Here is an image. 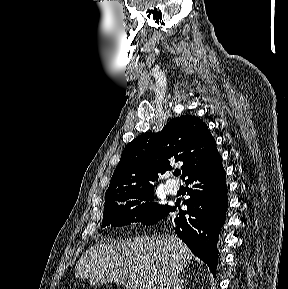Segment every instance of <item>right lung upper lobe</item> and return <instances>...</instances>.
Listing matches in <instances>:
<instances>
[{
    "instance_id": "right-lung-upper-lobe-1",
    "label": "right lung upper lobe",
    "mask_w": 288,
    "mask_h": 289,
    "mask_svg": "<svg viewBox=\"0 0 288 289\" xmlns=\"http://www.w3.org/2000/svg\"><path fill=\"white\" fill-rule=\"evenodd\" d=\"M216 142L205 123L194 116L170 120L159 133H146L122 152L106 193L153 187L150 181L182 161V179L217 153Z\"/></svg>"
}]
</instances>
